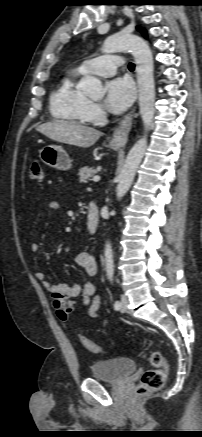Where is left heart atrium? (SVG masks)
<instances>
[{
	"instance_id": "1",
	"label": "left heart atrium",
	"mask_w": 202,
	"mask_h": 437,
	"mask_svg": "<svg viewBox=\"0 0 202 437\" xmlns=\"http://www.w3.org/2000/svg\"><path fill=\"white\" fill-rule=\"evenodd\" d=\"M135 97L132 82L127 78H115L106 84V108L115 114L126 110Z\"/></svg>"
}]
</instances>
